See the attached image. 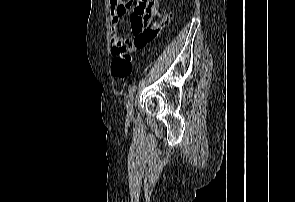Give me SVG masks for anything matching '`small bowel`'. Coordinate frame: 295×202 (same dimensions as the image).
<instances>
[{
    "label": "small bowel",
    "instance_id": "1",
    "mask_svg": "<svg viewBox=\"0 0 295 202\" xmlns=\"http://www.w3.org/2000/svg\"><path fill=\"white\" fill-rule=\"evenodd\" d=\"M131 8V0H110L113 54L117 49L123 47L128 50L144 47L169 21L171 15L170 10L161 8L158 0H138L137 6L132 9L129 16L134 38L130 45L125 46L120 38V21Z\"/></svg>",
    "mask_w": 295,
    "mask_h": 202
}]
</instances>
